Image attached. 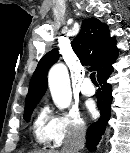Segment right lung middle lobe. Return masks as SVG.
Here are the masks:
<instances>
[{
	"label": "right lung middle lobe",
	"mask_w": 130,
	"mask_h": 153,
	"mask_svg": "<svg viewBox=\"0 0 130 153\" xmlns=\"http://www.w3.org/2000/svg\"><path fill=\"white\" fill-rule=\"evenodd\" d=\"M37 103H33L31 105H28L25 107V114H24V119L28 122L30 119V116L35 108Z\"/></svg>",
	"instance_id": "obj_1"
}]
</instances>
